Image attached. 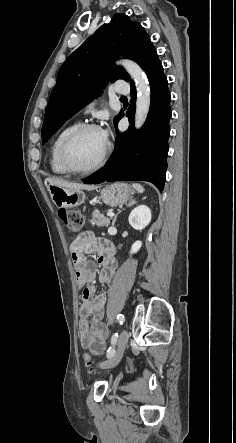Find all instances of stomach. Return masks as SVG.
I'll return each mask as SVG.
<instances>
[{"instance_id": "stomach-1", "label": "stomach", "mask_w": 236, "mask_h": 443, "mask_svg": "<svg viewBox=\"0 0 236 443\" xmlns=\"http://www.w3.org/2000/svg\"><path fill=\"white\" fill-rule=\"evenodd\" d=\"M51 199L57 208H74L84 203L82 190H74L56 185L48 186ZM133 189L125 183H113L101 190L102 201L111 207L127 203L133 195Z\"/></svg>"}]
</instances>
